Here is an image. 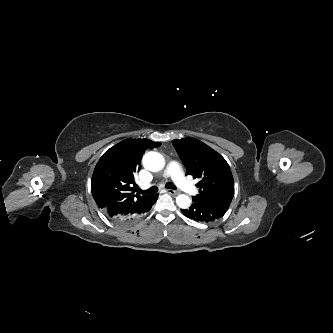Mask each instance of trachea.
<instances>
[{"instance_id":"trachea-1","label":"trachea","mask_w":333,"mask_h":333,"mask_svg":"<svg viewBox=\"0 0 333 333\" xmlns=\"http://www.w3.org/2000/svg\"><path fill=\"white\" fill-rule=\"evenodd\" d=\"M165 187L168 188V189L176 190V186L173 183H167L165 185ZM137 191L139 193H141V194H154V193H156L158 191V188L156 186H152L148 190L143 191V190H141V189L138 188Z\"/></svg>"}]
</instances>
